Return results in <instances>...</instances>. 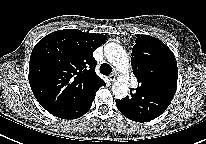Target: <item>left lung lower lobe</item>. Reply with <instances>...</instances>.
I'll list each match as a JSON object with an SVG mask.
<instances>
[{
	"mask_svg": "<svg viewBox=\"0 0 206 144\" xmlns=\"http://www.w3.org/2000/svg\"><path fill=\"white\" fill-rule=\"evenodd\" d=\"M142 92H137L132 94L133 98L140 97L139 94ZM144 93V92H143ZM129 98L126 97L123 100H116V106L119 109V111L125 115L128 119L138 122H148L151 121L158 116H160L168 107H165L162 98H155V99H149V98H139L140 100V111L137 113H132L129 106Z\"/></svg>",
	"mask_w": 206,
	"mask_h": 144,
	"instance_id": "1",
	"label": "left lung lower lobe"
}]
</instances>
